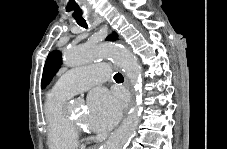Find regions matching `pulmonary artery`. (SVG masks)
Instances as JSON below:
<instances>
[{
  "mask_svg": "<svg viewBox=\"0 0 227 149\" xmlns=\"http://www.w3.org/2000/svg\"><path fill=\"white\" fill-rule=\"evenodd\" d=\"M108 73L109 66L107 64L75 67L63 74L56 81L53 89L70 97L86 91L95 84L106 81Z\"/></svg>",
  "mask_w": 227,
  "mask_h": 149,
  "instance_id": "e3ab8cb5",
  "label": "pulmonary artery"
}]
</instances>
